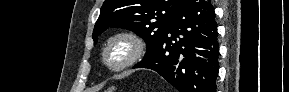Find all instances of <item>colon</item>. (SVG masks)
Listing matches in <instances>:
<instances>
[{"mask_svg":"<svg viewBox=\"0 0 289 92\" xmlns=\"http://www.w3.org/2000/svg\"><path fill=\"white\" fill-rule=\"evenodd\" d=\"M107 92H112V90H108Z\"/></svg>","mask_w":289,"mask_h":92,"instance_id":"colon-1","label":"colon"}]
</instances>
